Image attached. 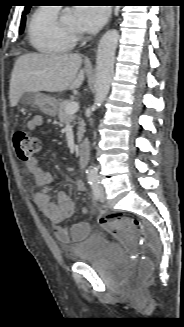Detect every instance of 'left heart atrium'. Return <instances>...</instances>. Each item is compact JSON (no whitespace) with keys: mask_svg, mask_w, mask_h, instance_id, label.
Returning <instances> with one entry per match:
<instances>
[{"mask_svg":"<svg viewBox=\"0 0 184 327\" xmlns=\"http://www.w3.org/2000/svg\"><path fill=\"white\" fill-rule=\"evenodd\" d=\"M74 16L77 29L82 32H95L106 22L109 10L99 5H83L76 8Z\"/></svg>","mask_w":184,"mask_h":327,"instance_id":"left-heart-atrium-1","label":"left heart atrium"}]
</instances>
